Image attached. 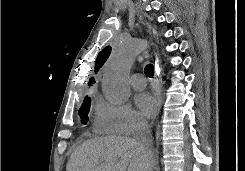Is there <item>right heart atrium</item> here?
Here are the masks:
<instances>
[{
    "label": "right heart atrium",
    "mask_w": 245,
    "mask_h": 171,
    "mask_svg": "<svg viewBox=\"0 0 245 171\" xmlns=\"http://www.w3.org/2000/svg\"><path fill=\"white\" fill-rule=\"evenodd\" d=\"M146 127L141 115L128 105L112 104L98 99L94 130L99 134L132 135Z\"/></svg>",
    "instance_id": "1"
}]
</instances>
